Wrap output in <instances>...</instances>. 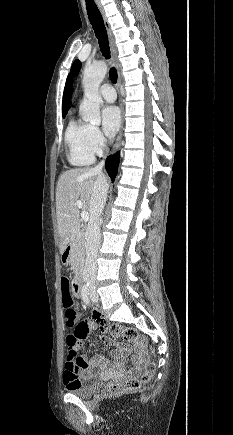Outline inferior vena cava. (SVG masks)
Returning a JSON list of instances; mask_svg holds the SVG:
<instances>
[{
  "instance_id": "1",
  "label": "inferior vena cava",
  "mask_w": 233,
  "mask_h": 435,
  "mask_svg": "<svg viewBox=\"0 0 233 435\" xmlns=\"http://www.w3.org/2000/svg\"><path fill=\"white\" fill-rule=\"evenodd\" d=\"M104 161L100 162L92 171L98 175L93 186L90 199V220L85 233L86 239V263L83 270V280L89 285L95 283L97 272V253L100 246V223L99 218L103 212L108 193V183L102 173Z\"/></svg>"
}]
</instances>
